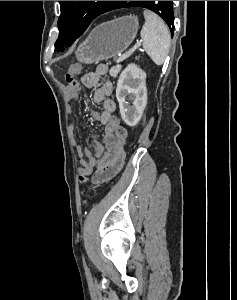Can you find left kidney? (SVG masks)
Here are the masks:
<instances>
[{"instance_id":"left-kidney-1","label":"left kidney","mask_w":237,"mask_h":300,"mask_svg":"<svg viewBox=\"0 0 237 300\" xmlns=\"http://www.w3.org/2000/svg\"><path fill=\"white\" fill-rule=\"evenodd\" d=\"M120 115L129 127L138 125L147 105L146 73L131 63L122 71L116 89ZM133 101L132 107L127 103Z\"/></svg>"}]
</instances>
